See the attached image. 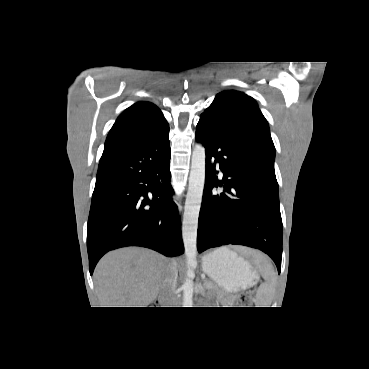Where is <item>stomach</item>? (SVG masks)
<instances>
[{"instance_id":"stomach-1","label":"stomach","mask_w":369,"mask_h":369,"mask_svg":"<svg viewBox=\"0 0 369 369\" xmlns=\"http://www.w3.org/2000/svg\"><path fill=\"white\" fill-rule=\"evenodd\" d=\"M203 271L226 292H238L256 283L250 263L228 248H219L202 258Z\"/></svg>"}]
</instances>
